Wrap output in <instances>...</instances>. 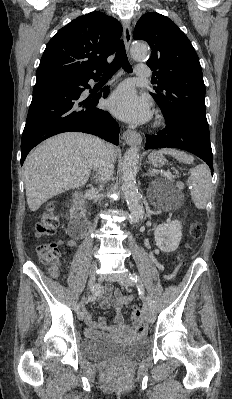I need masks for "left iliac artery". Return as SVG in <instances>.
<instances>
[{
  "label": "left iliac artery",
  "mask_w": 232,
  "mask_h": 399,
  "mask_svg": "<svg viewBox=\"0 0 232 399\" xmlns=\"http://www.w3.org/2000/svg\"><path fill=\"white\" fill-rule=\"evenodd\" d=\"M129 276H130V279L132 280V281H134V282H140V279H139V276H137L135 273H132V274H129ZM137 291H138V295L140 296V297H142L143 295H144V286H143V284L142 283H139L138 285H137ZM149 309H150V311L154 314L155 313V305H154V303L153 302H149Z\"/></svg>",
  "instance_id": "left-iliac-artery-1"
}]
</instances>
